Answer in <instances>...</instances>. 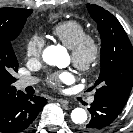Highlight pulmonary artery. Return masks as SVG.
<instances>
[{
	"mask_svg": "<svg viewBox=\"0 0 133 133\" xmlns=\"http://www.w3.org/2000/svg\"><path fill=\"white\" fill-rule=\"evenodd\" d=\"M37 82V80L35 78L32 77H22L20 79H18V81L16 82V87L19 90H23L28 86H32ZM94 98L90 99V102H93Z\"/></svg>",
	"mask_w": 133,
	"mask_h": 133,
	"instance_id": "e3ab8cb5",
	"label": "pulmonary artery"
}]
</instances>
